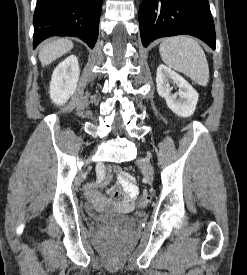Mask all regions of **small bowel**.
Listing matches in <instances>:
<instances>
[{
  "label": "small bowel",
  "instance_id": "1",
  "mask_svg": "<svg viewBox=\"0 0 247 275\" xmlns=\"http://www.w3.org/2000/svg\"><path fill=\"white\" fill-rule=\"evenodd\" d=\"M118 183L112 185L108 189V193L112 197H121L117 206L122 211H130L138 197V187L134 182V178L120 168L115 169ZM111 182V175L107 174L102 180H97L87 184L84 188V193L87 199L97 207L105 205L106 200L101 191V188L106 187Z\"/></svg>",
  "mask_w": 247,
  "mask_h": 275
}]
</instances>
